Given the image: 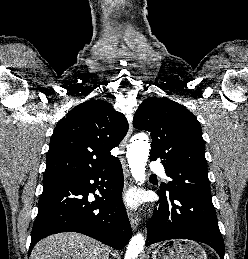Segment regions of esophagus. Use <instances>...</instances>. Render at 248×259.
<instances>
[{
	"mask_svg": "<svg viewBox=\"0 0 248 259\" xmlns=\"http://www.w3.org/2000/svg\"><path fill=\"white\" fill-rule=\"evenodd\" d=\"M133 132V124H132V117L129 116L128 117V131L126 136L123 138L121 144H120V149H121V153L124 154L125 153V149L127 147L129 138L131 137ZM122 166H123V173H124V188L125 190H127L131 184H132V180L130 178V174H129V170L127 167V163L125 158H122ZM127 215L130 221V224L133 228V230H136L138 228L139 225V218L136 215V213H134L131 209L127 208Z\"/></svg>",
	"mask_w": 248,
	"mask_h": 259,
	"instance_id": "esophagus-1",
	"label": "esophagus"
}]
</instances>
